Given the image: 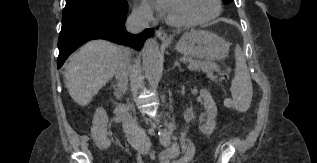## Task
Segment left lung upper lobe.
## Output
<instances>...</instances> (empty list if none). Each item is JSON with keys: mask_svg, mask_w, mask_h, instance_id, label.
Here are the masks:
<instances>
[{"mask_svg": "<svg viewBox=\"0 0 317 163\" xmlns=\"http://www.w3.org/2000/svg\"><path fill=\"white\" fill-rule=\"evenodd\" d=\"M232 0H223L225 4L230 3Z\"/></svg>", "mask_w": 317, "mask_h": 163, "instance_id": "1", "label": "left lung upper lobe"}]
</instances>
